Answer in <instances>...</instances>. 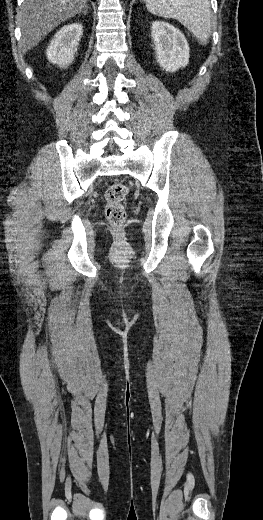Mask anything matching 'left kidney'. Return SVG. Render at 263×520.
<instances>
[{
  "instance_id": "1",
  "label": "left kidney",
  "mask_w": 263,
  "mask_h": 520,
  "mask_svg": "<svg viewBox=\"0 0 263 520\" xmlns=\"http://www.w3.org/2000/svg\"><path fill=\"white\" fill-rule=\"evenodd\" d=\"M156 61L168 72H176L189 62V45L184 34L164 21H155L151 27Z\"/></svg>"
}]
</instances>
